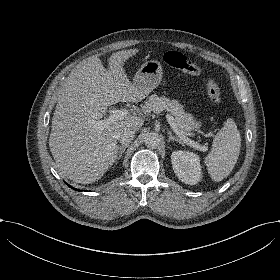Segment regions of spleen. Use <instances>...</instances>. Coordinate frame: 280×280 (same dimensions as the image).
Masks as SVG:
<instances>
[{
  "label": "spleen",
  "mask_w": 280,
  "mask_h": 280,
  "mask_svg": "<svg viewBox=\"0 0 280 280\" xmlns=\"http://www.w3.org/2000/svg\"><path fill=\"white\" fill-rule=\"evenodd\" d=\"M241 149V135L236 123L228 119L213 140V152L207 159L209 174L220 181L233 170Z\"/></svg>",
  "instance_id": "1"
}]
</instances>
